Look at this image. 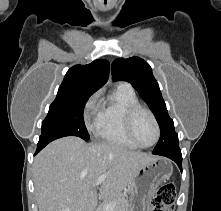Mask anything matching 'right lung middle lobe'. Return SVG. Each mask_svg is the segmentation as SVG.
<instances>
[{
    "label": "right lung middle lobe",
    "mask_w": 221,
    "mask_h": 211,
    "mask_svg": "<svg viewBox=\"0 0 221 211\" xmlns=\"http://www.w3.org/2000/svg\"><path fill=\"white\" fill-rule=\"evenodd\" d=\"M90 96L56 98L50 105L46 118L42 121V134L38 143H49L65 136H77L89 140L83 110Z\"/></svg>",
    "instance_id": "obj_1"
}]
</instances>
